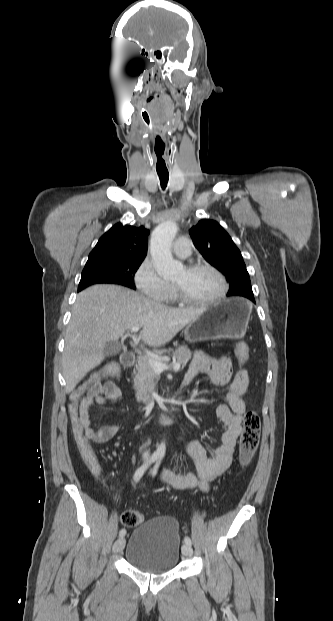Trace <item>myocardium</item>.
<instances>
[{"instance_id": "f54148a6", "label": "myocardium", "mask_w": 333, "mask_h": 621, "mask_svg": "<svg viewBox=\"0 0 333 621\" xmlns=\"http://www.w3.org/2000/svg\"><path fill=\"white\" fill-rule=\"evenodd\" d=\"M185 269L188 272H195L199 270H209L213 272L219 278L221 282V290L213 298L206 299V300H196V299L190 298L181 288L173 284L172 289L178 301L188 304V305H193V306H204V305L215 304L221 301L223 298H225L229 290V284L227 282L225 275L217 267H215L214 265L210 263L198 262V263H193V264L188 265Z\"/></svg>"}]
</instances>
